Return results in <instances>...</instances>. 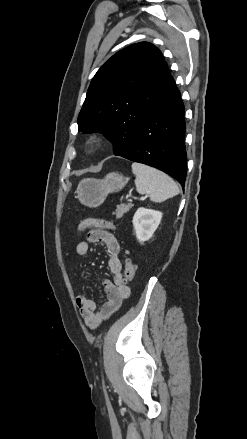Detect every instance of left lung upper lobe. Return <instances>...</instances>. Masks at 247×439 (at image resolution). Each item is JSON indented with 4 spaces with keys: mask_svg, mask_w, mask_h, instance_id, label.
Instances as JSON below:
<instances>
[{
    "mask_svg": "<svg viewBox=\"0 0 247 439\" xmlns=\"http://www.w3.org/2000/svg\"><path fill=\"white\" fill-rule=\"evenodd\" d=\"M176 88L160 50L140 42L113 55L95 74L78 116L82 133L101 132L123 154L143 119Z\"/></svg>",
    "mask_w": 247,
    "mask_h": 439,
    "instance_id": "left-lung-upper-lobe-1",
    "label": "left lung upper lobe"
}]
</instances>
